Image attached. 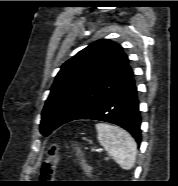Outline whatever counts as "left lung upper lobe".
Instances as JSON below:
<instances>
[{
	"label": "left lung upper lobe",
	"instance_id": "obj_1",
	"mask_svg": "<svg viewBox=\"0 0 178 186\" xmlns=\"http://www.w3.org/2000/svg\"><path fill=\"white\" fill-rule=\"evenodd\" d=\"M122 47L101 39L66 61L42 111L41 133L48 136L133 77Z\"/></svg>",
	"mask_w": 178,
	"mask_h": 186
}]
</instances>
